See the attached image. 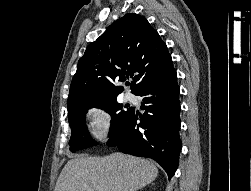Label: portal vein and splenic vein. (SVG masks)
Returning a JSON list of instances; mask_svg holds the SVG:
<instances>
[{
  "label": "portal vein and splenic vein",
  "instance_id": "obj_1",
  "mask_svg": "<svg viewBox=\"0 0 251 191\" xmlns=\"http://www.w3.org/2000/svg\"><path fill=\"white\" fill-rule=\"evenodd\" d=\"M98 191H102V189H98Z\"/></svg>",
  "mask_w": 251,
  "mask_h": 191
}]
</instances>
